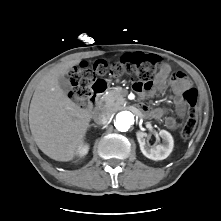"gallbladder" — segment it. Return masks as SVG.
Segmentation results:
<instances>
[{
    "label": "gallbladder",
    "instance_id": "bac80fb5",
    "mask_svg": "<svg viewBox=\"0 0 221 221\" xmlns=\"http://www.w3.org/2000/svg\"><path fill=\"white\" fill-rule=\"evenodd\" d=\"M59 86L65 93L70 92L72 89L70 80L65 76L59 78Z\"/></svg>",
    "mask_w": 221,
    "mask_h": 221
}]
</instances>
